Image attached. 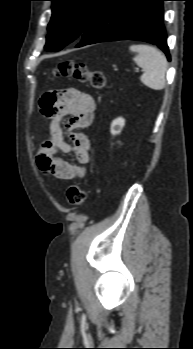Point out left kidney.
<instances>
[{"instance_id":"obj_1","label":"left kidney","mask_w":193,"mask_h":349,"mask_svg":"<svg viewBox=\"0 0 193 349\" xmlns=\"http://www.w3.org/2000/svg\"><path fill=\"white\" fill-rule=\"evenodd\" d=\"M125 125V120L121 117L116 118L115 120L112 121L111 123V128L110 132L112 135H117L121 132L122 128Z\"/></svg>"}]
</instances>
